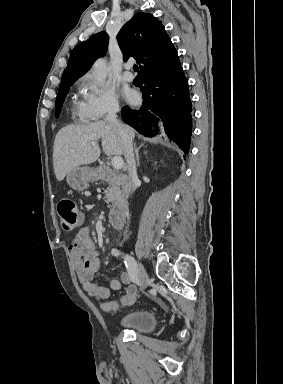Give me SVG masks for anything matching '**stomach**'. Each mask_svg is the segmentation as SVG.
I'll return each instance as SVG.
<instances>
[{"label": "stomach", "instance_id": "0dacf381", "mask_svg": "<svg viewBox=\"0 0 283 384\" xmlns=\"http://www.w3.org/2000/svg\"><path fill=\"white\" fill-rule=\"evenodd\" d=\"M96 178V172L94 168H89V166H83V168H73L71 172L67 174V184L73 190L77 192H83L89 188V182H94Z\"/></svg>", "mask_w": 283, "mask_h": 384}]
</instances>
